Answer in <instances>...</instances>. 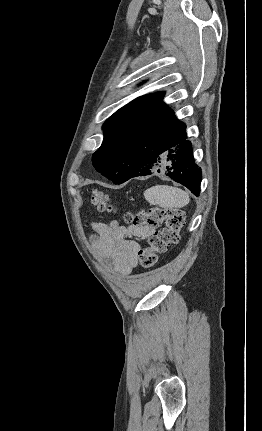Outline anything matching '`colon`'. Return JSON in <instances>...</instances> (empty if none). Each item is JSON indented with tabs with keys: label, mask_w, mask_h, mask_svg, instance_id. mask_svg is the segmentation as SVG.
Listing matches in <instances>:
<instances>
[{
	"label": "colon",
	"mask_w": 262,
	"mask_h": 431,
	"mask_svg": "<svg viewBox=\"0 0 262 431\" xmlns=\"http://www.w3.org/2000/svg\"><path fill=\"white\" fill-rule=\"evenodd\" d=\"M92 202L101 212L118 210L110 202L108 196L97 189L92 191ZM124 218L133 226L158 228L163 225L153 232L149 245L138 253L140 265L144 268H151L157 263L159 254L165 253L171 245L178 242L179 231L184 222V213L174 208H151L127 212Z\"/></svg>",
	"instance_id": "colon-1"
}]
</instances>
